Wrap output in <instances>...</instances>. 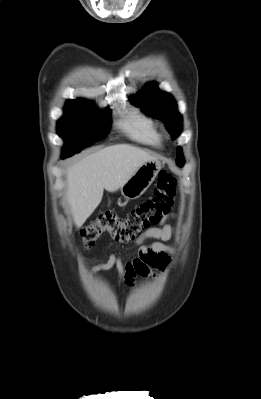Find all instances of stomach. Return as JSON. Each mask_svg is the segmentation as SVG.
<instances>
[{
  "instance_id": "0dacf381",
  "label": "stomach",
  "mask_w": 261,
  "mask_h": 399,
  "mask_svg": "<svg viewBox=\"0 0 261 399\" xmlns=\"http://www.w3.org/2000/svg\"><path fill=\"white\" fill-rule=\"evenodd\" d=\"M160 169L161 163L158 160L145 162L121 187V194L127 200L139 198L153 183Z\"/></svg>"
}]
</instances>
